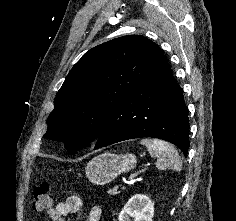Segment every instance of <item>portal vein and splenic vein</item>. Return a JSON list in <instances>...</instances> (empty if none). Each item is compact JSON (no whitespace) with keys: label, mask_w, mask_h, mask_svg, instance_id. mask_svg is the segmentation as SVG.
Listing matches in <instances>:
<instances>
[{"label":"portal vein and splenic vein","mask_w":236,"mask_h":221,"mask_svg":"<svg viewBox=\"0 0 236 221\" xmlns=\"http://www.w3.org/2000/svg\"><path fill=\"white\" fill-rule=\"evenodd\" d=\"M135 177H136V174H133V175L129 178L128 183L134 181Z\"/></svg>","instance_id":"portal-vein-and-splenic-vein-1"}]
</instances>
